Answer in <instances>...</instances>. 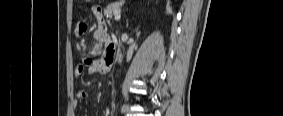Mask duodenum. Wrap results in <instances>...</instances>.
I'll use <instances>...</instances> for the list:
<instances>
[{"label": "duodenum", "instance_id": "410a0bca", "mask_svg": "<svg viewBox=\"0 0 283 116\" xmlns=\"http://www.w3.org/2000/svg\"><path fill=\"white\" fill-rule=\"evenodd\" d=\"M114 58H115V57H110V58L108 59V62H109L110 64H113Z\"/></svg>", "mask_w": 283, "mask_h": 116}]
</instances>
